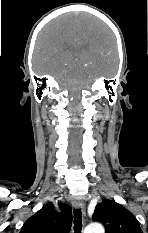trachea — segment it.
<instances>
[{"mask_svg":"<svg viewBox=\"0 0 148 233\" xmlns=\"http://www.w3.org/2000/svg\"><path fill=\"white\" fill-rule=\"evenodd\" d=\"M82 212L81 209L74 210V233H81Z\"/></svg>","mask_w":148,"mask_h":233,"instance_id":"trachea-1","label":"trachea"}]
</instances>
